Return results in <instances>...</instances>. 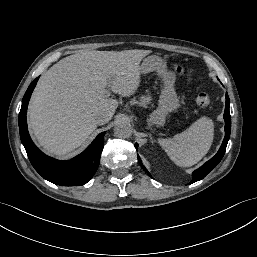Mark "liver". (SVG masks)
Wrapping results in <instances>:
<instances>
[{
  "label": "liver",
  "instance_id": "obj_1",
  "mask_svg": "<svg viewBox=\"0 0 257 257\" xmlns=\"http://www.w3.org/2000/svg\"><path fill=\"white\" fill-rule=\"evenodd\" d=\"M150 50L85 51L67 56L39 79L29 108V127L49 153L63 156L97 128L96 117L118 107L108 86L123 97L140 85V62Z\"/></svg>",
  "mask_w": 257,
  "mask_h": 257
}]
</instances>
